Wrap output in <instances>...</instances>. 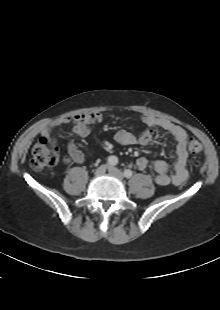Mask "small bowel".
<instances>
[{"instance_id":"small-bowel-1","label":"small bowel","mask_w":220,"mask_h":310,"mask_svg":"<svg viewBox=\"0 0 220 310\" xmlns=\"http://www.w3.org/2000/svg\"><path fill=\"white\" fill-rule=\"evenodd\" d=\"M103 116L99 112L80 113L73 116L54 120L42 127L40 135L49 143L55 144L56 140L52 137L54 128L64 125H72V133L78 137H86L90 134L92 127L102 122ZM143 123L147 126L140 135H136L127 129H119L114 134V140L121 145H148L153 139V128H161L168 132L174 139L176 144V160L173 164V173H169V166L163 160H155L150 162L145 157L136 160V166L141 171L152 168L155 171L154 182L160 186L169 184L179 186L183 184L189 175L188 171V140L187 131L171 122L168 119L160 118L153 115H143ZM86 155L78 148L74 142L67 144V155L63 158L65 164L83 163Z\"/></svg>"}]
</instances>
